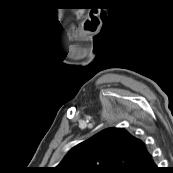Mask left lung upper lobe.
<instances>
[{"label": "left lung upper lobe", "instance_id": "obj_1", "mask_svg": "<svg viewBox=\"0 0 173 173\" xmlns=\"http://www.w3.org/2000/svg\"><path fill=\"white\" fill-rule=\"evenodd\" d=\"M142 140L122 128H109L75 146L57 173H138L151 158Z\"/></svg>", "mask_w": 173, "mask_h": 173}]
</instances>
